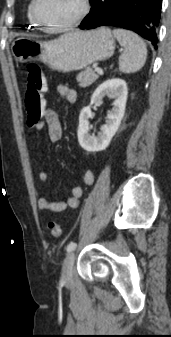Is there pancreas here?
I'll return each mask as SVG.
<instances>
[{"label": "pancreas", "mask_w": 171, "mask_h": 337, "mask_svg": "<svg viewBox=\"0 0 171 337\" xmlns=\"http://www.w3.org/2000/svg\"><path fill=\"white\" fill-rule=\"evenodd\" d=\"M98 75L91 67H86L82 72H80L76 79L79 82L80 87H88L98 79Z\"/></svg>", "instance_id": "cf45deb5"}]
</instances>
